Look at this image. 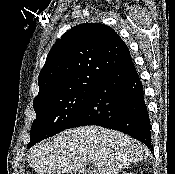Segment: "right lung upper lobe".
<instances>
[{"mask_svg":"<svg viewBox=\"0 0 175 174\" xmlns=\"http://www.w3.org/2000/svg\"><path fill=\"white\" fill-rule=\"evenodd\" d=\"M125 42L109 26L80 24L65 33L50 50L33 103L86 85L131 61Z\"/></svg>","mask_w":175,"mask_h":174,"instance_id":"right-lung-upper-lobe-1","label":"right lung upper lobe"}]
</instances>
